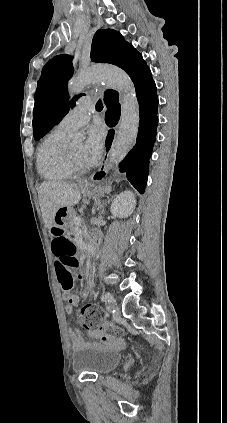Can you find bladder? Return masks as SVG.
Instances as JSON below:
<instances>
[{
  "label": "bladder",
  "mask_w": 227,
  "mask_h": 423,
  "mask_svg": "<svg viewBox=\"0 0 227 423\" xmlns=\"http://www.w3.org/2000/svg\"><path fill=\"white\" fill-rule=\"evenodd\" d=\"M123 357L118 351L86 345L72 356L74 371H84L99 377L112 372L122 364Z\"/></svg>",
  "instance_id": "bladder-1"
}]
</instances>
